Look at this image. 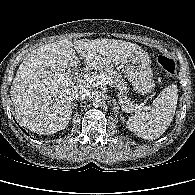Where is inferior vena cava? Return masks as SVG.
Instances as JSON below:
<instances>
[{"instance_id": "inferior-vena-cava-1", "label": "inferior vena cava", "mask_w": 195, "mask_h": 195, "mask_svg": "<svg viewBox=\"0 0 195 195\" xmlns=\"http://www.w3.org/2000/svg\"><path fill=\"white\" fill-rule=\"evenodd\" d=\"M71 96L73 100L84 102L90 97V91L82 85H76L72 90Z\"/></svg>"}]
</instances>
